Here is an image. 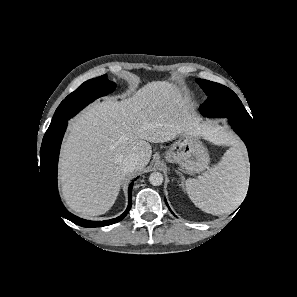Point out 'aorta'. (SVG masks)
Segmentation results:
<instances>
[{"instance_id":"obj_1","label":"aorta","mask_w":297,"mask_h":297,"mask_svg":"<svg viewBox=\"0 0 297 297\" xmlns=\"http://www.w3.org/2000/svg\"><path fill=\"white\" fill-rule=\"evenodd\" d=\"M149 181L153 186H159L163 183V175L160 172H153L149 176Z\"/></svg>"}]
</instances>
